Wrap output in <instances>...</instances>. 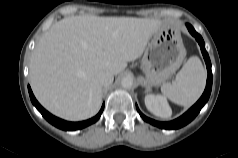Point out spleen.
I'll return each instance as SVG.
<instances>
[{
  "instance_id": "3e777b00",
  "label": "spleen",
  "mask_w": 238,
  "mask_h": 158,
  "mask_svg": "<svg viewBox=\"0 0 238 158\" xmlns=\"http://www.w3.org/2000/svg\"><path fill=\"white\" fill-rule=\"evenodd\" d=\"M206 81V73L197 56L190 57L177 73L172 83L163 84L162 94L170 101L191 106L201 96Z\"/></svg>"
}]
</instances>
